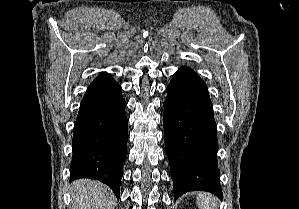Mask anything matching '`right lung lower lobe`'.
<instances>
[{"mask_svg":"<svg viewBox=\"0 0 299 209\" xmlns=\"http://www.w3.org/2000/svg\"><path fill=\"white\" fill-rule=\"evenodd\" d=\"M125 106L121 87L109 74L90 84L75 122L70 181L96 179L119 197L128 140Z\"/></svg>","mask_w":299,"mask_h":209,"instance_id":"98d812e1","label":"right lung lower lobe"}]
</instances>
